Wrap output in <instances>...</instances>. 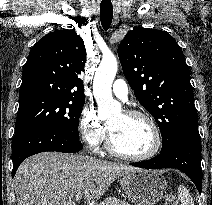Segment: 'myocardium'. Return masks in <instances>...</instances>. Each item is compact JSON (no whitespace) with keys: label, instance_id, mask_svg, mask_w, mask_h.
Returning <instances> with one entry per match:
<instances>
[{"label":"myocardium","instance_id":"myocardium-1","mask_svg":"<svg viewBox=\"0 0 212 205\" xmlns=\"http://www.w3.org/2000/svg\"><path fill=\"white\" fill-rule=\"evenodd\" d=\"M124 114L131 117L142 118L143 120L146 121L151 131V136H152L151 146L149 147L147 151L141 154H135V155L126 154L119 151L115 147L111 134H109L107 139V144H106L109 153H111L112 155L118 158L128 160V161H145L154 157L159 152L161 148V143H162L160 129L156 121L154 120V118L150 114L140 110H128Z\"/></svg>","mask_w":212,"mask_h":205}]
</instances>
